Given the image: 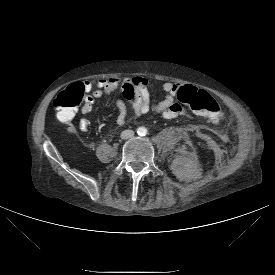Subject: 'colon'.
<instances>
[{"label":"colon","mask_w":275,"mask_h":275,"mask_svg":"<svg viewBox=\"0 0 275 275\" xmlns=\"http://www.w3.org/2000/svg\"><path fill=\"white\" fill-rule=\"evenodd\" d=\"M178 100L190 107L195 113L206 116L212 122H218L224 116L220 104L205 90L193 86H184L177 93ZM83 90L74 85L59 93L54 99L58 117L71 120L77 109L84 103Z\"/></svg>","instance_id":"colon-1"}]
</instances>
